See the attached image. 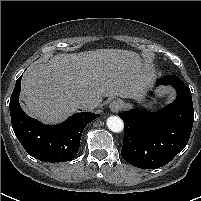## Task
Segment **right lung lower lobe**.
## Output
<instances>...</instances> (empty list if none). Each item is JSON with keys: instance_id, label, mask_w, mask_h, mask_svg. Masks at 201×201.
Masks as SVG:
<instances>
[{"instance_id": "98d812e1", "label": "right lung lower lobe", "mask_w": 201, "mask_h": 201, "mask_svg": "<svg viewBox=\"0 0 201 201\" xmlns=\"http://www.w3.org/2000/svg\"><path fill=\"white\" fill-rule=\"evenodd\" d=\"M21 77L12 92L9 109L13 131L27 153L44 162H66L75 158L82 132L99 117L90 112L75 113L59 125H44L28 116L19 104Z\"/></svg>"}]
</instances>
